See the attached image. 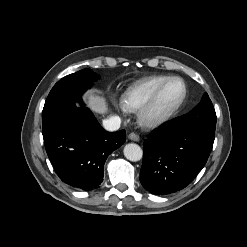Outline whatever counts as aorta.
<instances>
[{
	"mask_svg": "<svg viewBox=\"0 0 247 247\" xmlns=\"http://www.w3.org/2000/svg\"><path fill=\"white\" fill-rule=\"evenodd\" d=\"M124 156L128 160L136 162L142 159L143 151L139 145L135 143H129L124 147Z\"/></svg>",
	"mask_w": 247,
	"mask_h": 247,
	"instance_id": "aorta-1",
	"label": "aorta"
}]
</instances>
